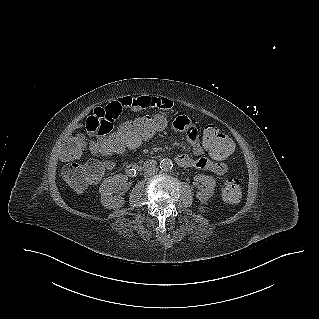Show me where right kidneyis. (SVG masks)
<instances>
[{"mask_svg":"<svg viewBox=\"0 0 319 319\" xmlns=\"http://www.w3.org/2000/svg\"><path fill=\"white\" fill-rule=\"evenodd\" d=\"M128 177L126 175L117 174L106 178L100 188V202L106 209H120L123 207L125 200L122 197L124 187Z\"/></svg>","mask_w":319,"mask_h":319,"instance_id":"1","label":"right kidney"}]
</instances>
